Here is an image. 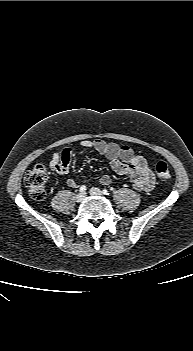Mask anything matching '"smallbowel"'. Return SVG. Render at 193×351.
<instances>
[{
  "label": "small bowel",
  "instance_id": "c3829d8e",
  "mask_svg": "<svg viewBox=\"0 0 193 351\" xmlns=\"http://www.w3.org/2000/svg\"><path fill=\"white\" fill-rule=\"evenodd\" d=\"M85 148L94 149L99 154L105 156L111 168L118 175L126 176L130 179L133 187L138 191H150L154 187L155 178L148 161L141 155L135 154L127 145H119L114 142H107L102 139L84 140L74 142L69 147H62L59 152L53 154L50 167L55 174L64 175L70 171L71 157L81 156ZM112 179L105 174L100 177L102 185H110ZM79 180L69 178L67 185L76 188Z\"/></svg>",
  "mask_w": 193,
  "mask_h": 351
}]
</instances>
